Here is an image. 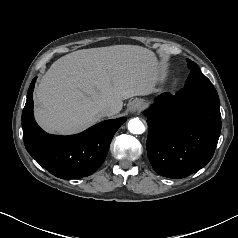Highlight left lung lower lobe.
<instances>
[{
	"instance_id": "1",
	"label": "left lung lower lobe",
	"mask_w": 238,
	"mask_h": 238,
	"mask_svg": "<svg viewBox=\"0 0 238 238\" xmlns=\"http://www.w3.org/2000/svg\"><path fill=\"white\" fill-rule=\"evenodd\" d=\"M144 114L148 158L158 174L183 178L211 160L221 131L218 96L164 93Z\"/></svg>"
}]
</instances>
